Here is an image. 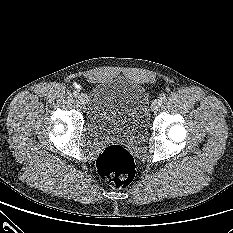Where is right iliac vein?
<instances>
[{
  "instance_id": "obj_1",
  "label": "right iliac vein",
  "mask_w": 233,
  "mask_h": 233,
  "mask_svg": "<svg viewBox=\"0 0 233 233\" xmlns=\"http://www.w3.org/2000/svg\"><path fill=\"white\" fill-rule=\"evenodd\" d=\"M78 99H79L80 103L83 104V105H85L87 103V101H88V98H87V96L85 94H80L78 96Z\"/></svg>"
}]
</instances>
